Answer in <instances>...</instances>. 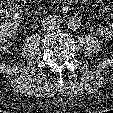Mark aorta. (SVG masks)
<instances>
[{
  "instance_id": "762f6f07",
  "label": "aorta",
  "mask_w": 113,
  "mask_h": 113,
  "mask_svg": "<svg viewBox=\"0 0 113 113\" xmlns=\"http://www.w3.org/2000/svg\"><path fill=\"white\" fill-rule=\"evenodd\" d=\"M66 24L69 29L76 30L80 27L81 20L77 16H70L69 18H67Z\"/></svg>"
}]
</instances>
